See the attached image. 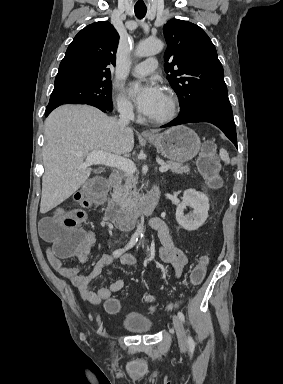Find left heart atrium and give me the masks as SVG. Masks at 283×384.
<instances>
[{
    "label": "left heart atrium",
    "mask_w": 283,
    "mask_h": 384,
    "mask_svg": "<svg viewBox=\"0 0 283 384\" xmlns=\"http://www.w3.org/2000/svg\"><path fill=\"white\" fill-rule=\"evenodd\" d=\"M127 91L139 112L145 116L151 115L165 98L161 87L154 82H134L129 85Z\"/></svg>",
    "instance_id": "39dd6f15"
}]
</instances>
